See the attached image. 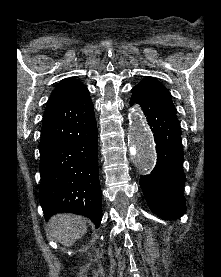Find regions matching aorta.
<instances>
[{"instance_id":"1","label":"aorta","mask_w":221,"mask_h":277,"mask_svg":"<svg viewBox=\"0 0 221 277\" xmlns=\"http://www.w3.org/2000/svg\"><path fill=\"white\" fill-rule=\"evenodd\" d=\"M127 139L130 154L136 167L142 172L153 169L156 163L155 144L140 109L133 107L129 112V130Z\"/></svg>"}]
</instances>
